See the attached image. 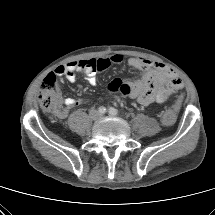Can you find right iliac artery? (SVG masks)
I'll use <instances>...</instances> for the list:
<instances>
[{"instance_id":"82829eb1","label":"right iliac artery","mask_w":215,"mask_h":215,"mask_svg":"<svg viewBox=\"0 0 215 215\" xmlns=\"http://www.w3.org/2000/svg\"><path fill=\"white\" fill-rule=\"evenodd\" d=\"M106 108L105 107H103V106H101V107H99V109H98V112L100 113V114H104V113H106Z\"/></svg>"}]
</instances>
